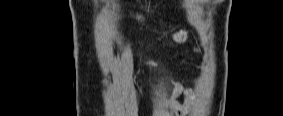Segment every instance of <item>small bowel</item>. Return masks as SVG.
Listing matches in <instances>:
<instances>
[{
    "mask_svg": "<svg viewBox=\"0 0 283 116\" xmlns=\"http://www.w3.org/2000/svg\"><path fill=\"white\" fill-rule=\"evenodd\" d=\"M130 17L132 19H134L135 21L143 24V25L152 26L151 21L146 16H144L142 14L132 13V14H130ZM157 37H158V34L154 33L153 38L151 39L149 45H153L156 42ZM187 37H188V32L186 30H180L174 35L175 40L178 41V42H184L187 39ZM196 51L200 52L201 50H200V48H196ZM179 94H183L186 97L185 105L181 109H178L179 110L178 112L183 113V112L187 111V107L190 104L192 94H191L190 90L182 88L178 84H175V88L172 92V95L177 96Z\"/></svg>",
    "mask_w": 283,
    "mask_h": 116,
    "instance_id": "obj_1",
    "label": "small bowel"
}]
</instances>
